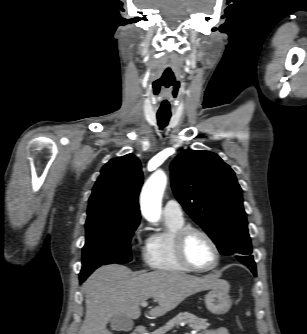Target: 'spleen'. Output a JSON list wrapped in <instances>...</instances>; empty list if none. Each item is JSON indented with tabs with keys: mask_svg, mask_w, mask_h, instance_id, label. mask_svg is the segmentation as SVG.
<instances>
[{
	"mask_svg": "<svg viewBox=\"0 0 307 334\" xmlns=\"http://www.w3.org/2000/svg\"><path fill=\"white\" fill-rule=\"evenodd\" d=\"M247 315H250V313H249V312H247Z\"/></svg>",
	"mask_w": 307,
	"mask_h": 334,
	"instance_id": "1",
	"label": "spleen"
}]
</instances>
